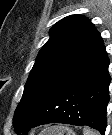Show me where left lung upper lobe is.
Segmentation results:
<instances>
[{
    "label": "left lung upper lobe",
    "mask_w": 112,
    "mask_h": 135,
    "mask_svg": "<svg viewBox=\"0 0 112 135\" xmlns=\"http://www.w3.org/2000/svg\"><path fill=\"white\" fill-rule=\"evenodd\" d=\"M49 35V40L39 51L15 110L13 126L17 134L102 40L95 26L82 15L61 19L53 25Z\"/></svg>",
    "instance_id": "obj_1"
}]
</instances>
